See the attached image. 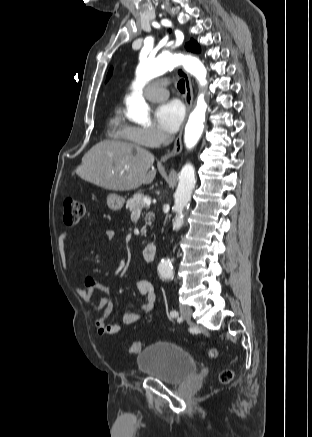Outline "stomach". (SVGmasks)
I'll return each mask as SVG.
<instances>
[{
	"label": "stomach",
	"instance_id": "obj_1",
	"mask_svg": "<svg viewBox=\"0 0 312 437\" xmlns=\"http://www.w3.org/2000/svg\"><path fill=\"white\" fill-rule=\"evenodd\" d=\"M125 200L117 194H109L107 196V206L112 211H119L123 208Z\"/></svg>",
	"mask_w": 312,
	"mask_h": 437
}]
</instances>
